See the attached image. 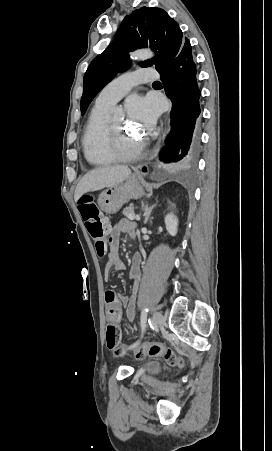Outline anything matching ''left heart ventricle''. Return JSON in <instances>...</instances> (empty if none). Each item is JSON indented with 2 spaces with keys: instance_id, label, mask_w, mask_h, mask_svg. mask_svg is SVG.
Masks as SVG:
<instances>
[{
  "instance_id": "1",
  "label": "left heart ventricle",
  "mask_w": 272,
  "mask_h": 451,
  "mask_svg": "<svg viewBox=\"0 0 272 451\" xmlns=\"http://www.w3.org/2000/svg\"><path fill=\"white\" fill-rule=\"evenodd\" d=\"M115 143L124 146L127 145L130 141H132L130 138H128L127 134L124 132V121L123 119H117L110 122Z\"/></svg>"
}]
</instances>
